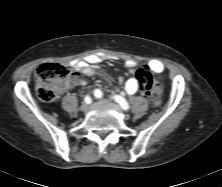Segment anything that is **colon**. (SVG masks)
<instances>
[{"mask_svg":"<svg viewBox=\"0 0 222 187\" xmlns=\"http://www.w3.org/2000/svg\"><path fill=\"white\" fill-rule=\"evenodd\" d=\"M136 77L145 97L153 106H158L162 98L160 83L145 68L139 69ZM74 80L75 74L69 66L58 62L43 63L36 72L38 96L44 101H53Z\"/></svg>","mask_w":222,"mask_h":187,"instance_id":"obj_1","label":"colon"}]
</instances>
